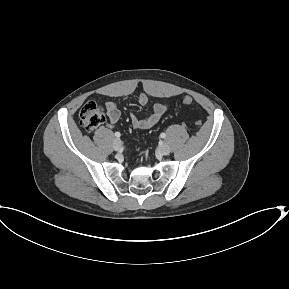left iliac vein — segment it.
<instances>
[{"mask_svg":"<svg viewBox=\"0 0 289 289\" xmlns=\"http://www.w3.org/2000/svg\"><path fill=\"white\" fill-rule=\"evenodd\" d=\"M160 152H161L163 155H168V154L170 153V147L168 146V144L163 143V144L160 146Z\"/></svg>","mask_w":289,"mask_h":289,"instance_id":"obj_1","label":"left iliac vein"}]
</instances>
